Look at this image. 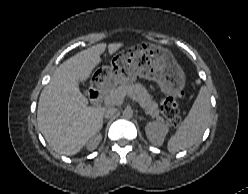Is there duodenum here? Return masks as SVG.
I'll use <instances>...</instances> for the list:
<instances>
[{"label": "duodenum", "instance_id": "1", "mask_svg": "<svg viewBox=\"0 0 248 194\" xmlns=\"http://www.w3.org/2000/svg\"><path fill=\"white\" fill-rule=\"evenodd\" d=\"M103 95L101 86L94 85L89 89L88 97L91 103L96 104L100 102Z\"/></svg>", "mask_w": 248, "mask_h": 194}]
</instances>
